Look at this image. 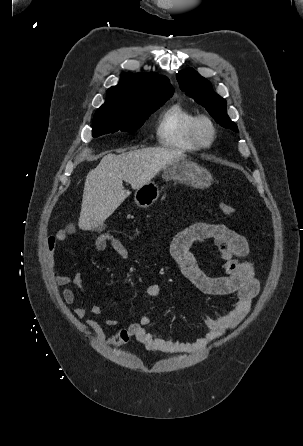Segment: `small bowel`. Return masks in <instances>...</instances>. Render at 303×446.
<instances>
[{"label": "small bowel", "instance_id": "c3829d8e", "mask_svg": "<svg viewBox=\"0 0 303 446\" xmlns=\"http://www.w3.org/2000/svg\"><path fill=\"white\" fill-rule=\"evenodd\" d=\"M77 231L75 224L59 230L46 239L47 263L57 286L65 287L73 284L86 293L83 277L76 272L72 277L61 274L56 269V252L60 243L70 240ZM213 241L218 247L224 261L225 275L210 276L198 265L192 252L197 243ZM94 247L103 252L112 249L124 260H130L131 254L124 244L116 237L105 239L98 235L94 239ZM246 238L223 224L195 223L176 232L170 242V253L179 266L185 278L202 293L214 296H231L232 303L222 315L209 317L205 321L206 334L193 342H178L168 339L164 334L148 329L151 323L149 315H143L137 322L126 328L117 330L113 336L106 337L100 324L94 320H86L85 325L94 331L97 337L111 346L125 345L130 339H136L149 350L170 354H193L204 350L210 343L220 338L228 330L236 328L248 315L252 301L259 291V282L255 276V266L245 260L249 254ZM159 283H152L146 288V295L155 298L161 294ZM62 297L67 304L76 301V293L71 288L62 291ZM77 318H84L88 313L100 315L102 309L91 304L89 308L80 306L73 310ZM107 325L117 326L118 321L107 319Z\"/></svg>", "mask_w": 303, "mask_h": 446}]
</instances>
